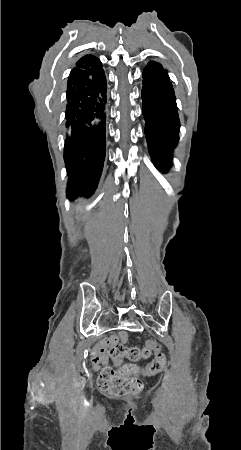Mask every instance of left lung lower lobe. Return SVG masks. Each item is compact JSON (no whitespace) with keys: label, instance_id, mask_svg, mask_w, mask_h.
I'll return each mask as SVG.
<instances>
[{"label":"left lung lower lobe","instance_id":"obj_1","mask_svg":"<svg viewBox=\"0 0 241 450\" xmlns=\"http://www.w3.org/2000/svg\"><path fill=\"white\" fill-rule=\"evenodd\" d=\"M143 116L148 150L155 166L170 167L180 129L175 93L167 71L151 61L143 71Z\"/></svg>","mask_w":241,"mask_h":450}]
</instances>
